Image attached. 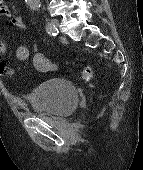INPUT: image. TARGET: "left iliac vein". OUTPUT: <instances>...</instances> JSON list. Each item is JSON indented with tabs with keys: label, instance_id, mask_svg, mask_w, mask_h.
<instances>
[{
	"label": "left iliac vein",
	"instance_id": "1",
	"mask_svg": "<svg viewBox=\"0 0 143 170\" xmlns=\"http://www.w3.org/2000/svg\"><path fill=\"white\" fill-rule=\"evenodd\" d=\"M50 24L58 26L59 25V20L58 19H53V20H51Z\"/></svg>",
	"mask_w": 143,
	"mask_h": 170
}]
</instances>
